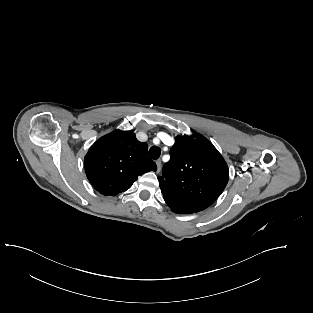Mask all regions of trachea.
Returning <instances> with one entry per match:
<instances>
[{
    "label": "trachea",
    "mask_w": 313,
    "mask_h": 313,
    "mask_svg": "<svg viewBox=\"0 0 313 313\" xmlns=\"http://www.w3.org/2000/svg\"><path fill=\"white\" fill-rule=\"evenodd\" d=\"M160 154H161V150L159 147L153 146L149 150V157L151 159H154V160L158 159L160 157Z\"/></svg>",
    "instance_id": "1"
}]
</instances>
